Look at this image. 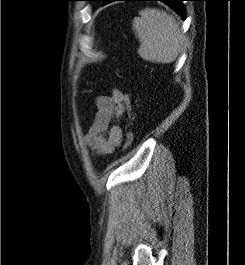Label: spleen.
Wrapping results in <instances>:
<instances>
[{
    "label": "spleen",
    "mask_w": 245,
    "mask_h": 265,
    "mask_svg": "<svg viewBox=\"0 0 245 265\" xmlns=\"http://www.w3.org/2000/svg\"><path fill=\"white\" fill-rule=\"evenodd\" d=\"M133 20L140 41L138 54L145 61L172 63L183 46L184 36L175 18L163 10L146 8Z\"/></svg>",
    "instance_id": "1"
}]
</instances>
